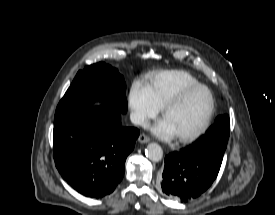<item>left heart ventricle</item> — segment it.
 I'll use <instances>...</instances> for the list:
<instances>
[{
  "label": "left heart ventricle",
  "mask_w": 275,
  "mask_h": 215,
  "mask_svg": "<svg viewBox=\"0 0 275 215\" xmlns=\"http://www.w3.org/2000/svg\"><path fill=\"white\" fill-rule=\"evenodd\" d=\"M210 107V96L204 89L189 93L164 117L173 129L175 136L188 134L204 120Z\"/></svg>",
  "instance_id": "1"
}]
</instances>
